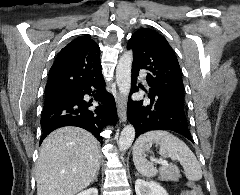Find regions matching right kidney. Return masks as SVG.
<instances>
[{
  "label": "right kidney",
  "instance_id": "1",
  "mask_svg": "<svg viewBox=\"0 0 240 195\" xmlns=\"http://www.w3.org/2000/svg\"><path fill=\"white\" fill-rule=\"evenodd\" d=\"M77 195H98L97 187H89V189H84V191H80Z\"/></svg>",
  "mask_w": 240,
  "mask_h": 195
}]
</instances>
